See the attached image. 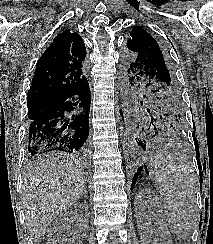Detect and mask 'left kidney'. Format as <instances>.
<instances>
[{
    "label": "left kidney",
    "mask_w": 213,
    "mask_h": 244,
    "mask_svg": "<svg viewBox=\"0 0 213 244\" xmlns=\"http://www.w3.org/2000/svg\"><path fill=\"white\" fill-rule=\"evenodd\" d=\"M160 205L149 190H142L135 200L138 229L144 244H171L168 228L160 216ZM149 209L150 212H146Z\"/></svg>",
    "instance_id": "1"
}]
</instances>
